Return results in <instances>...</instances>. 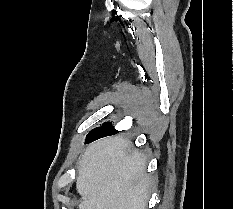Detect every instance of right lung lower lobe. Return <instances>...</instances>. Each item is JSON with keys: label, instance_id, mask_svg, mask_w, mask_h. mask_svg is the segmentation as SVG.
Listing matches in <instances>:
<instances>
[{"label": "right lung lower lobe", "instance_id": "98d812e1", "mask_svg": "<svg viewBox=\"0 0 233 209\" xmlns=\"http://www.w3.org/2000/svg\"><path fill=\"white\" fill-rule=\"evenodd\" d=\"M118 131H116L115 129H113L112 127L111 128H108V129H104L102 131H97V132H94L92 133L89 137H87L86 139V143H90L94 140H97L99 138H102V137H105V136H109V135H113L115 133H117Z\"/></svg>", "mask_w": 233, "mask_h": 209}]
</instances>
